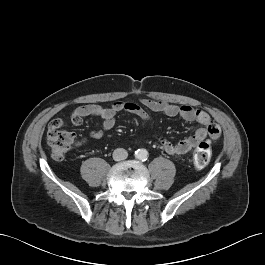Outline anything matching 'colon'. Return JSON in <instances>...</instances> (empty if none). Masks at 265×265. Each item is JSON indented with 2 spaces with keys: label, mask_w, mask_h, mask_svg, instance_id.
I'll list each match as a JSON object with an SVG mask.
<instances>
[{
  "label": "colon",
  "mask_w": 265,
  "mask_h": 265,
  "mask_svg": "<svg viewBox=\"0 0 265 265\" xmlns=\"http://www.w3.org/2000/svg\"><path fill=\"white\" fill-rule=\"evenodd\" d=\"M76 141L74 133L63 129L61 120L53 121L47 132V143L51 155L55 159H63L71 150ZM211 147L206 142H201L195 149L192 157L193 164L196 168H204L211 159Z\"/></svg>",
  "instance_id": "obj_1"
}]
</instances>
